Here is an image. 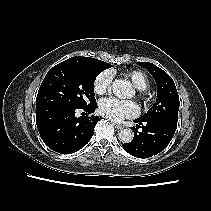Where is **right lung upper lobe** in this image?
<instances>
[{
	"mask_svg": "<svg viewBox=\"0 0 211 211\" xmlns=\"http://www.w3.org/2000/svg\"><path fill=\"white\" fill-rule=\"evenodd\" d=\"M74 58H88V57H74Z\"/></svg>",
	"mask_w": 211,
	"mask_h": 211,
	"instance_id": "cb5924a9",
	"label": "right lung upper lobe"
}]
</instances>
